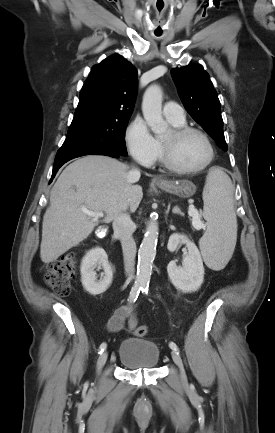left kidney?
<instances>
[{
	"instance_id": "obj_1",
	"label": "left kidney",
	"mask_w": 275,
	"mask_h": 433,
	"mask_svg": "<svg viewBox=\"0 0 275 433\" xmlns=\"http://www.w3.org/2000/svg\"><path fill=\"white\" fill-rule=\"evenodd\" d=\"M181 243L186 245L188 254L183 258L182 266H177L175 261L169 262L168 276L177 289L184 293L194 292L203 283V261L197 246L184 235L172 234L167 248L170 252H174Z\"/></svg>"
}]
</instances>
